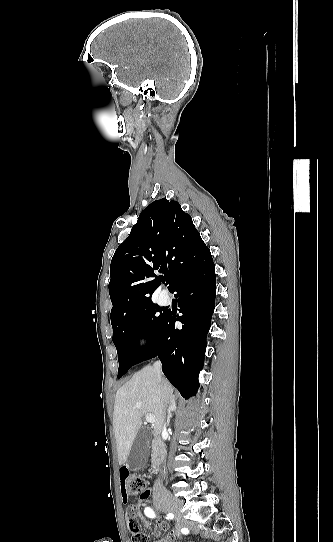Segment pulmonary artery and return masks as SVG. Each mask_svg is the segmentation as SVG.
<instances>
[{
    "mask_svg": "<svg viewBox=\"0 0 333 542\" xmlns=\"http://www.w3.org/2000/svg\"><path fill=\"white\" fill-rule=\"evenodd\" d=\"M166 292H167V290H165V289L161 290V293H166ZM164 304H168V302H165Z\"/></svg>",
    "mask_w": 333,
    "mask_h": 542,
    "instance_id": "pulmonary-artery-1",
    "label": "pulmonary artery"
}]
</instances>
